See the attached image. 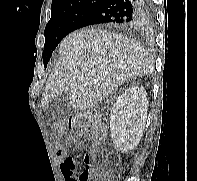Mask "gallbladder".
<instances>
[{"instance_id": "bac80fb5", "label": "gallbladder", "mask_w": 197, "mask_h": 181, "mask_svg": "<svg viewBox=\"0 0 197 181\" xmlns=\"http://www.w3.org/2000/svg\"><path fill=\"white\" fill-rule=\"evenodd\" d=\"M68 96L69 94L64 93L62 96L54 98L48 105L49 111L54 115L66 111L68 107Z\"/></svg>"}]
</instances>
